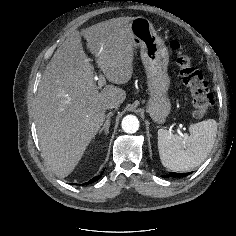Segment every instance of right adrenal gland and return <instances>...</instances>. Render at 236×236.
Instances as JSON below:
<instances>
[{"mask_svg":"<svg viewBox=\"0 0 236 236\" xmlns=\"http://www.w3.org/2000/svg\"><path fill=\"white\" fill-rule=\"evenodd\" d=\"M111 116H112V112L107 114V119H106L103 127L99 130V134H101L104 131L105 135H108L109 127H110V121H111Z\"/></svg>","mask_w":236,"mask_h":236,"instance_id":"1","label":"right adrenal gland"}]
</instances>
